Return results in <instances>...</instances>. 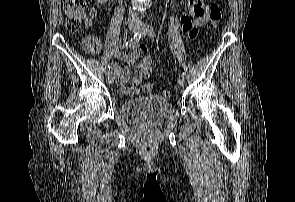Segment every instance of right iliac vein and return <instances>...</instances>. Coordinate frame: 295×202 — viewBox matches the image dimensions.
Listing matches in <instances>:
<instances>
[{"label":"right iliac vein","instance_id":"1","mask_svg":"<svg viewBox=\"0 0 295 202\" xmlns=\"http://www.w3.org/2000/svg\"><path fill=\"white\" fill-rule=\"evenodd\" d=\"M137 29H138V25L136 23L131 22L129 24V31L130 32H135ZM106 80L109 84H114L115 77L111 73H109V74H107Z\"/></svg>","mask_w":295,"mask_h":202}]
</instances>
